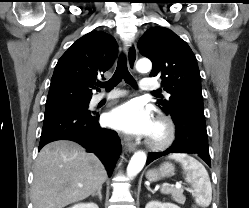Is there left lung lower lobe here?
I'll return each mask as SVG.
<instances>
[{"instance_id": "1", "label": "left lung lower lobe", "mask_w": 249, "mask_h": 208, "mask_svg": "<svg viewBox=\"0 0 249 208\" xmlns=\"http://www.w3.org/2000/svg\"><path fill=\"white\" fill-rule=\"evenodd\" d=\"M172 119L176 126L175 141L164 152L149 153L147 164L170 153H195L211 167L204 114L179 110Z\"/></svg>"}]
</instances>
